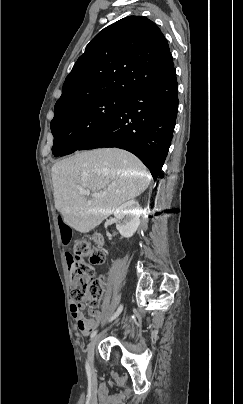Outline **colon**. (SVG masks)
Listing matches in <instances>:
<instances>
[{
    "instance_id": "obj_1",
    "label": "colon",
    "mask_w": 243,
    "mask_h": 404,
    "mask_svg": "<svg viewBox=\"0 0 243 404\" xmlns=\"http://www.w3.org/2000/svg\"><path fill=\"white\" fill-rule=\"evenodd\" d=\"M74 256L71 264L73 280L76 288L71 293L74 302L87 299L95 308L102 295V280L94 277V267L105 261V253L86 241L78 240L74 245Z\"/></svg>"
}]
</instances>
